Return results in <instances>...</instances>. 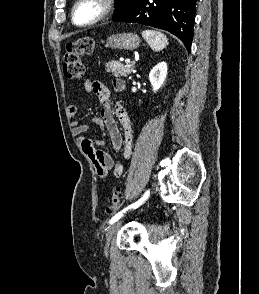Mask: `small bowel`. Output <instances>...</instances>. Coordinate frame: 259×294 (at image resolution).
I'll use <instances>...</instances> for the list:
<instances>
[{
    "instance_id": "obj_1",
    "label": "small bowel",
    "mask_w": 259,
    "mask_h": 294,
    "mask_svg": "<svg viewBox=\"0 0 259 294\" xmlns=\"http://www.w3.org/2000/svg\"><path fill=\"white\" fill-rule=\"evenodd\" d=\"M112 85L116 92H121L125 88V82L118 78L113 80ZM84 89L87 93L95 94L101 106L99 117L93 118L92 123L107 131L110 144L115 152L120 153L124 159L130 158L133 135L127 112L119 104L112 105L110 103V91L103 83L86 80ZM77 114L78 107L70 105L68 107V115L73 120L72 135L79 139L80 146L93 163L97 175L104 178L109 171H112L115 177H121L123 174L122 163L113 159L110 154L96 149V146L104 145L105 142H93L87 138L85 133L89 130L90 126L75 120Z\"/></svg>"
}]
</instances>
